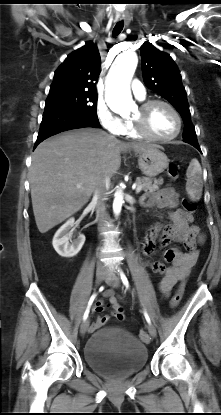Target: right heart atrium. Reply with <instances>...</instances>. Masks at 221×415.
<instances>
[{
	"label": "right heart atrium",
	"instance_id": "obj_1",
	"mask_svg": "<svg viewBox=\"0 0 221 415\" xmlns=\"http://www.w3.org/2000/svg\"><path fill=\"white\" fill-rule=\"evenodd\" d=\"M96 114L101 126L114 136L124 135L127 129V121L115 114L102 100L97 102Z\"/></svg>",
	"mask_w": 221,
	"mask_h": 415
}]
</instances>
